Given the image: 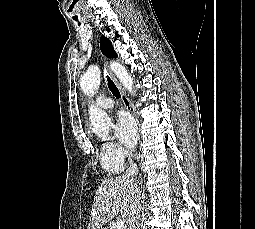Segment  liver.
Returning a JSON list of instances; mask_svg holds the SVG:
<instances>
[{
	"label": "liver",
	"instance_id": "6515ba94",
	"mask_svg": "<svg viewBox=\"0 0 255 229\" xmlns=\"http://www.w3.org/2000/svg\"><path fill=\"white\" fill-rule=\"evenodd\" d=\"M137 192H140L138 181L132 182L123 176L103 180L94 197L87 229H99L118 212L126 219Z\"/></svg>",
	"mask_w": 255,
	"mask_h": 229
}]
</instances>
